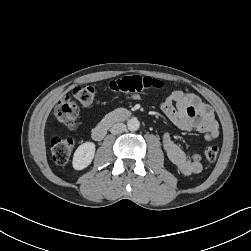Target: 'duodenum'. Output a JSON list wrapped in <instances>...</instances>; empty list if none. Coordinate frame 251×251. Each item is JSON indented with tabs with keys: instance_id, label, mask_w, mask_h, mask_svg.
I'll use <instances>...</instances> for the list:
<instances>
[{
	"instance_id": "duodenum-1",
	"label": "duodenum",
	"mask_w": 251,
	"mask_h": 251,
	"mask_svg": "<svg viewBox=\"0 0 251 251\" xmlns=\"http://www.w3.org/2000/svg\"><path fill=\"white\" fill-rule=\"evenodd\" d=\"M130 116L131 113L125 109H119L107 114L93 129L92 137L95 140L103 139L110 127L128 119Z\"/></svg>"
}]
</instances>
